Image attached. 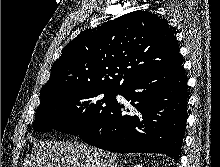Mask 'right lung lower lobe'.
<instances>
[{
    "label": "right lung lower lobe",
    "instance_id": "98d812e1",
    "mask_svg": "<svg viewBox=\"0 0 220 167\" xmlns=\"http://www.w3.org/2000/svg\"><path fill=\"white\" fill-rule=\"evenodd\" d=\"M131 106L115 99L112 107L80 139L98 148L119 153H162L177 160L187 118V81L182 64L157 72L118 90Z\"/></svg>",
    "mask_w": 220,
    "mask_h": 167
}]
</instances>
